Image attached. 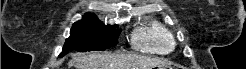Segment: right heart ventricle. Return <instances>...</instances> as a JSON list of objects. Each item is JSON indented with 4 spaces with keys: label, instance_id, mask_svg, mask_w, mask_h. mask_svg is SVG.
Wrapping results in <instances>:
<instances>
[{
    "label": "right heart ventricle",
    "instance_id": "1",
    "mask_svg": "<svg viewBox=\"0 0 246 69\" xmlns=\"http://www.w3.org/2000/svg\"><path fill=\"white\" fill-rule=\"evenodd\" d=\"M173 44L171 32L159 22H151L132 34V46L143 53L165 54Z\"/></svg>",
    "mask_w": 246,
    "mask_h": 69
}]
</instances>
